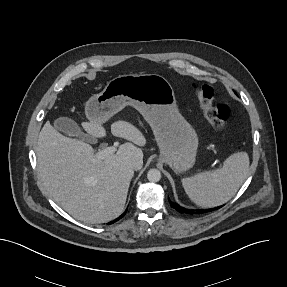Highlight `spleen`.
Returning <instances> with one entry per match:
<instances>
[{"instance_id": "spleen-1", "label": "spleen", "mask_w": 287, "mask_h": 287, "mask_svg": "<svg viewBox=\"0 0 287 287\" xmlns=\"http://www.w3.org/2000/svg\"><path fill=\"white\" fill-rule=\"evenodd\" d=\"M248 171V154L238 152L229 156L219 169L183 178L182 185L195 204L201 207H215L226 203L236 194Z\"/></svg>"}]
</instances>
